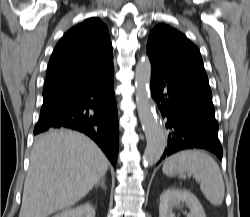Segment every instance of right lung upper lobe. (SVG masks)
<instances>
[{
  "label": "right lung upper lobe",
  "instance_id": "right-lung-upper-lobe-1",
  "mask_svg": "<svg viewBox=\"0 0 250 217\" xmlns=\"http://www.w3.org/2000/svg\"><path fill=\"white\" fill-rule=\"evenodd\" d=\"M113 67L108 29L98 18L71 28L57 43L48 65L43 97L89 82Z\"/></svg>",
  "mask_w": 250,
  "mask_h": 217
}]
</instances>
